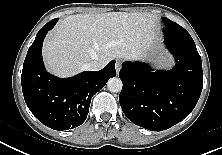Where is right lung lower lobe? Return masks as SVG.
I'll list each match as a JSON object with an SVG mask.
<instances>
[{"mask_svg":"<svg viewBox=\"0 0 222 155\" xmlns=\"http://www.w3.org/2000/svg\"><path fill=\"white\" fill-rule=\"evenodd\" d=\"M57 21L51 20L37 33L23 64L21 83L25 102L33 115L47 127L62 131L85 121L92 96L116 71L113 60L100 71H85L70 78L49 74L42 60V44Z\"/></svg>","mask_w":222,"mask_h":155,"instance_id":"obj_1","label":"right lung lower lobe"}]
</instances>
